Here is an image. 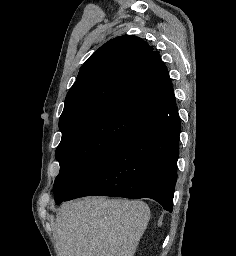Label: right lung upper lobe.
<instances>
[{
  "label": "right lung upper lobe",
  "instance_id": "1",
  "mask_svg": "<svg viewBox=\"0 0 236 256\" xmlns=\"http://www.w3.org/2000/svg\"><path fill=\"white\" fill-rule=\"evenodd\" d=\"M175 106L169 72L157 51L133 35L116 37L84 63L69 90L60 130L110 112L147 122Z\"/></svg>",
  "mask_w": 236,
  "mask_h": 256
}]
</instances>
